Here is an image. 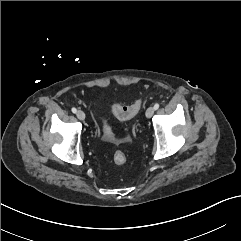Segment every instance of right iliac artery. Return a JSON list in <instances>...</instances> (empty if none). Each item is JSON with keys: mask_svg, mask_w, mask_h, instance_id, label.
<instances>
[{"mask_svg": "<svg viewBox=\"0 0 241 241\" xmlns=\"http://www.w3.org/2000/svg\"><path fill=\"white\" fill-rule=\"evenodd\" d=\"M71 111H72L73 113H76V112H77V109H76L75 107H73V108L71 109Z\"/></svg>", "mask_w": 241, "mask_h": 241, "instance_id": "82829eb1", "label": "right iliac artery"}]
</instances>
